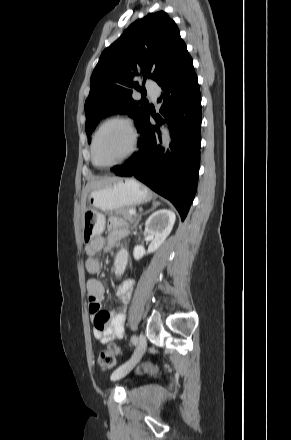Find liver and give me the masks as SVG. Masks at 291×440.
Segmentation results:
<instances>
[{
    "label": "liver",
    "instance_id": "obj_1",
    "mask_svg": "<svg viewBox=\"0 0 291 440\" xmlns=\"http://www.w3.org/2000/svg\"><path fill=\"white\" fill-rule=\"evenodd\" d=\"M117 179L118 178H116V177L102 178V179H99V180L92 181V182L88 183L86 188H85V190L83 191V195H82V207H83V209H85L86 197H87L88 192L91 189L106 186L109 183H111L113 181H116Z\"/></svg>",
    "mask_w": 291,
    "mask_h": 440
}]
</instances>
